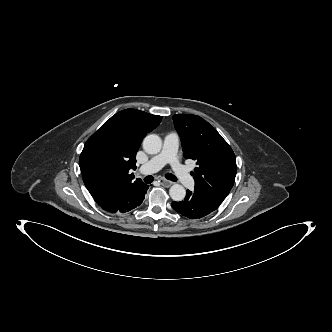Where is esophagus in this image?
<instances>
[{
    "instance_id": "34e87169",
    "label": "esophagus",
    "mask_w": 332,
    "mask_h": 332,
    "mask_svg": "<svg viewBox=\"0 0 332 332\" xmlns=\"http://www.w3.org/2000/svg\"><path fill=\"white\" fill-rule=\"evenodd\" d=\"M159 182H160L163 186H165V187H169V186L172 185V182H171V181L166 180V179H164V178H161V179L159 180Z\"/></svg>"
}]
</instances>
